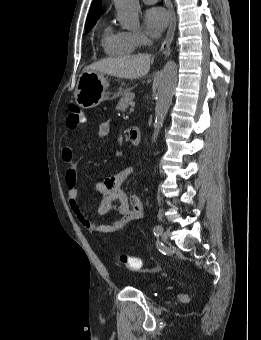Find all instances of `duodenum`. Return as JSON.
Wrapping results in <instances>:
<instances>
[{
  "label": "duodenum",
  "mask_w": 261,
  "mask_h": 340,
  "mask_svg": "<svg viewBox=\"0 0 261 340\" xmlns=\"http://www.w3.org/2000/svg\"><path fill=\"white\" fill-rule=\"evenodd\" d=\"M141 140V132L137 127L130 128L129 130V141L133 145H139Z\"/></svg>",
  "instance_id": "1"
}]
</instances>
